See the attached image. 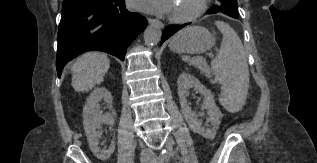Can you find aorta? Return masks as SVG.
Returning <instances> with one entry per match:
<instances>
[{
	"label": "aorta",
	"mask_w": 317,
	"mask_h": 163,
	"mask_svg": "<svg viewBox=\"0 0 317 163\" xmlns=\"http://www.w3.org/2000/svg\"><path fill=\"white\" fill-rule=\"evenodd\" d=\"M162 37V30L158 22L150 24L144 31V42L148 47H153L159 43Z\"/></svg>",
	"instance_id": "obj_1"
}]
</instances>
